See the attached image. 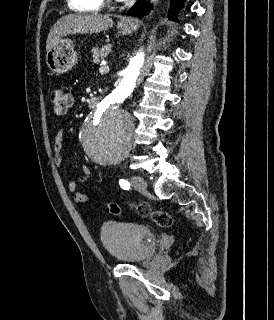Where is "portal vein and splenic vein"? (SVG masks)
I'll return each mask as SVG.
<instances>
[{
    "label": "portal vein and splenic vein",
    "instance_id": "1",
    "mask_svg": "<svg viewBox=\"0 0 274 320\" xmlns=\"http://www.w3.org/2000/svg\"><path fill=\"white\" fill-rule=\"evenodd\" d=\"M100 66L101 68H99V70H105V68H108V66H106V62H101Z\"/></svg>",
    "mask_w": 274,
    "mask_h": 320
}]
</instances>
